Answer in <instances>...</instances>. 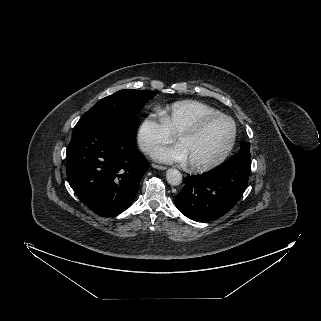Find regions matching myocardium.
Instances as JSON below:
<instances>
[{
	"label": "myocardium",
	"instance_id": "obj_1",
	"mask_svg": "<svg viewBox=\"0 0 321 321\" xmlns=\"http://www.w3.org/2000/svg\"><path fill=\"white\" fill-rule=\"evenodd\" d=\"M216 119H224L227 120L231 124V137L230 140L223 150V152L214 160L207 162V163H195V162H190L189 166L192 170L195 171H207L211 170L220 164H222L227 157L230 155L235 142L237 138V125L234 119L226 114L223 113H216V114H211V115H206L201 118H199L197 121L192 123L191 125L184 127L177 133V138L182 136V135H192L197 132H199L207 123L216 120Z\"/></svg>",
	"mask_w": 321,
	"mask_h": 321
}]
</instances>
